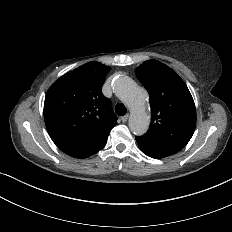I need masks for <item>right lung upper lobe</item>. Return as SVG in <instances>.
<instances>
[{
    "mask_svg": "<svg viewBox=\"0 0 232 232\" xmlns=\"http://www.w3.org/2000/svg\"><path fill=\"white\" fill-rule=\"evenodd\" d=\"M110 67L89 62L60 77L46 93L44 119L56 146L68 155L91 154L117 124L102 86Z\"/></svg>",
    "mask_w": 232,
    "mask_h": 232,
    "instance_id": "right-lung-upper-lobe-1",
    "label": "right lung upper lobe"
}]
</instances>
